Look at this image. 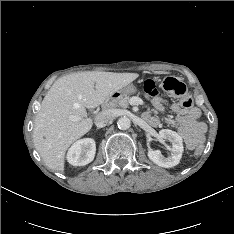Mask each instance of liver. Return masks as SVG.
Listing matches in <instances>:
<instances>
[{
  "instance_id": "liver-1",
  "label": "liver",
  "mask_w": 234,
  "mask_h": 234,
  "mask_svg": "<svg viewBox=\"0 0 234 234\" xmlns=\"http://www.w3.org/2000/svg\"><path fill=\"white\" fill-rule=\"evenodd\" d=\"M138 76L85 71L56 80L34 121L33 141L45 165L62 172L67 148L92 128L93 120L87 117L86 108H96ZM70 116L80 119L72 121Z\"/></svg>"
}]
</instances>
